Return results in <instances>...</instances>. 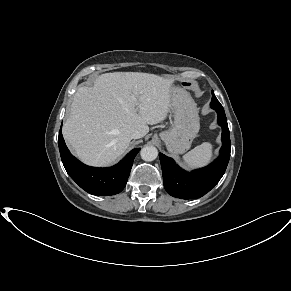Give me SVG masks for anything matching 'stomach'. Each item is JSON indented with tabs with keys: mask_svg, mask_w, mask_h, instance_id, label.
I'll return each mask as SVG.
<instances>
[{
	"mask_svg": "<svg viewBox=\"0 0 291 291\" xmlns=\"http://www.w3.org/2000/svg\"><path fill=\"white\" fill-rule=\"evenodd\" d=\"M174 123L171 128L160 133L169 152H186L199 131V117L196 104L184 88L172 87L170 92Z\"/></svg>",
	"mask_w": 291,
	"mask_h": 291,
	"instance_id": "stomach-1",
	"label": "stomach"
}]
</instances>
